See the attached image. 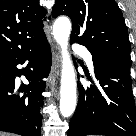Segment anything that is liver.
<instances>
[{"instance_id": "liver-1", "label": "liver", "mask_w": 136, "mask_h": 136, "mask_svg": "<svg viewBox=\"0 0 136 136\" xmlns=\"http://www.w3.org/2000/svg\"><path fill=\"white\" fill-rule=\"evenodd\" d=\"M0 136H8V135H6L5 133H0Z\"/></svg>"}]
</instances>
